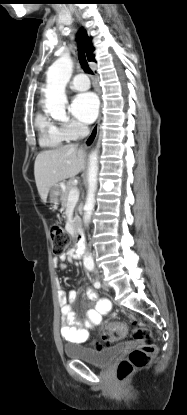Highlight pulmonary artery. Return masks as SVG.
Instances as JSON below:
<instances>
[{"label":"pulmonary artery","mask_w":187,"mask_h":415,"mask_svg":"<svg viewBox=\"0 0 187 415\" xmlns=\"http://www.w3.org/2000/svg\"><path fill=\"white\" fill-rule=\"evenodd\" d=\"M90 87V81L85 74H77L70 81V88L76 91H84Z\"/></svg>","instance_id":"e3ab8cb5"}]
</instances>
